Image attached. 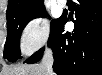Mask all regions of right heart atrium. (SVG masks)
<instances>
[{
  "label": "right heart atrium",
  "mask_w": 102,
  "mask_h": 75,
  "mask_svg": "<svg viewBox=\"0 0 102 75\" xmlns=\"http://www.w3.org/2000/svg\"><path fill=\"white\" fill-rule=\"evenodd\" d=\"M50 38V26L43 17H33L22 27L20 33V46L25 54H31L43 45Z\"/></svg>",
  "instance_id": "d8ad5b80"
}]
</instances>
